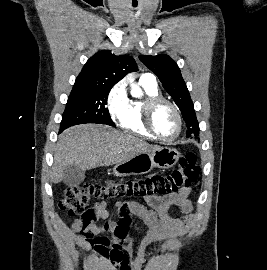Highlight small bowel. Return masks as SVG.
I'll list each match as a JSON object with an SVG mask.
<instances>
[{
	"label": "small bowel",
	"mask_w": 267,
	"mask_h": 270,
	"mask_svg": "<svg viewBox=\"0 0 267 270\" xmlns=\"http://www.w3.org/2000/svg\"><path fill=\"white\" fill-rule=\"evenodd\" d=\"M190 193L191 189L189 188L164 197L149 198L153 209H147L129 202H116V213L120 221L105 223L101 226L97 225V222L107 220L109 212L106 209L105 202H98L87 213L74 220L72 230L83 235H97L101 240L103 249L105 252L107 251L105 255L111 268H113V260H116L119 255H124L127 259V270H145L147 247L152 243L178 238L190 225L193 218V205L189 199ZM172 208L179 209L184 217H175L171 213ZM133 218H138L146 226V229L140 235L141 239L136 252L134 251L136 236L126 237ZM106 247H109V250ZM160 261L161 259H156L153 264L157 265Z\"/></svg>",
	"instance_id": "c3829d8e"
}]
</instances>
